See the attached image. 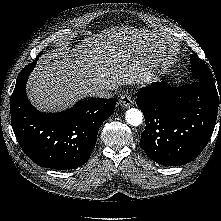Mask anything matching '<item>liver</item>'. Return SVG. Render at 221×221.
I'll return each mask as SVG.
<instances>
[{"label": "liver", "instance_id": "liver-1", "mask_svg": "<svg viewBox=\"0 0 221 221\" xmlns=\"http://www.w3.org/2000/svg\"><path fill=\"white\" fill-rule=\"evenodd\" d=\"M168 59L153 33L113 27L45 56L30 74L28 98L40 111H61L97 87L149 82L153 69L167 66Z\"/></svg>", "mask_w": 221, "mask_h": 221}]
</instances>
